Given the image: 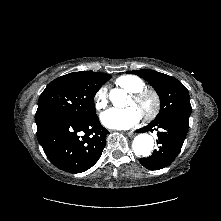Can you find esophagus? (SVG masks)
I'll use <instances>...</instances> for the list:
<instances>
[{
  "instance_id": "esophagus-1",
  "label": "esophagus",
  "mask_w": 221,
  "mask_h": 221,
  "mask_svg": "<svg viewBox=\"0 0 221 221\" xmlns=\"http://www.w3.org/2000/svg\"><path fill=\"white\" fill-rule=\"evenodd\" d=\"M127 134H128L129 136H133V135H134L133 131H128Z\"/></svg>"
}]
</instances>
